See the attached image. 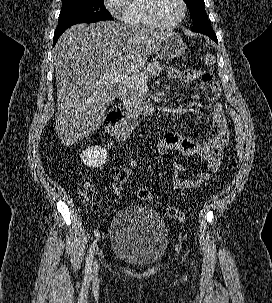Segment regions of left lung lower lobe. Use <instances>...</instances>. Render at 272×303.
Returning <instances> with one entry per match:
<instances>
[{
    "mask_svg": "<svg viewBox=\"0 0 272 303\" xmlns=\"http://www.w3.org/2000/svg\"><path fill=\"white\" fill-rule=\"evenodd\" d=\"M202 34H205V35L209 36L214 42L218 43L217 37H216L214 32H212V33H202Z\"/></svg>",
    "mask_w": 272,
    "mask_h": 303,
    "instance_id": "obj_1",
    "label": "left lung lower lobe"
}]
</instances>
